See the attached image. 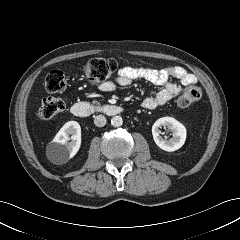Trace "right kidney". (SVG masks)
I'll return each instance as SVG.
<instances>
[{
	"mask_svg": "<svg viewBox=\"0 0 240 240\" xmlns=\"http://www.w3.org/2000/svg\"><path fill=\"white\" fill-rule=\"evenodd\" d=\"M71 135V137H69ZM71 139L70 142H68ZM81 145V127L76 121H69L59 130L48 145L47 153L55 164H64L75 156Z\"/></svg>",
	"mask_w": 240,
	"mask_h": 240,
	"instance_id": "ca27d5eb",
	"label": "right kidney"
}]
</instances>
